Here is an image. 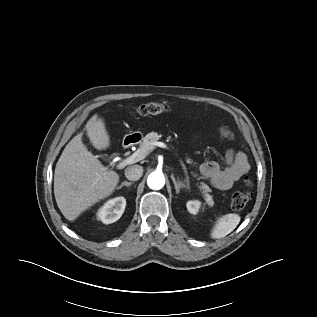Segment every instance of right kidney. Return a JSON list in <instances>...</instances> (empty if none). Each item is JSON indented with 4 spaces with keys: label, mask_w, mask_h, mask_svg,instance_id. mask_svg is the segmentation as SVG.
Instances as JSON below:
<instances>
[{
    "label": "right kidney",
    "mask_w": 317,
    "mask_h": 317,
    "mask_svg": "<svg viewBox=\"0 0 317 317\" xmlns=\"http://www.w3.org/2000/svg\"><path fill=\"white\" fill-rule=\"evenodd\" d=\"M126 207V199L124 197H116L108 200L101 208L98 209L96 216L105 224L117 221L123 214Z\"/></svg>",
    "instance_id": "right-kidney-1"
}]
</instances>
